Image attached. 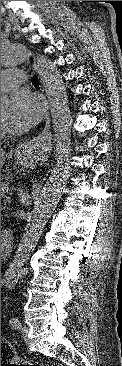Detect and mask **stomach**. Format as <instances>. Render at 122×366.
<instances>
[{
  "label": "stomach",
  "instance_id": "1",
  "mask_svg": "<svg viewBox=\"0 0 122 366\" xmlns=\"http://www.w3.org/2000/svg\"><path fill=\"white\" fill-rule=\"evenodd\" d=\"M22 155H24V154H21V155L19 156V158H20V157H22Z\"/></svg>",
  "mask_w": 122,
  "mask_h": 366
}]
</instances>
